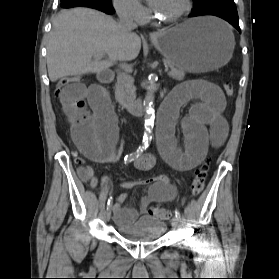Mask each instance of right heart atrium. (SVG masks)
I'll use <instances>...</instances> for the list:
<instances>
[{
	"instance_id": "right-heart-atrium-1",
	"label": "right heart atrium",
	"mask_w": 279,
	"mask_h": 279,
	"mask_svg": "<svg viewBox=\"0 0 279 279\" xmlns=\"http://www.w3.org/2000/svg\"><path fill=\"white\" fill-rule=\"evenodd\" d=\"M113 6L121 18L142 22L148 16V10L139 0H112Z\"/></svg>"
}]
</instances>
